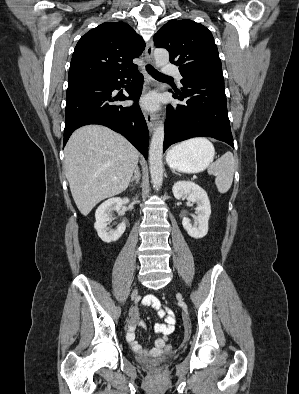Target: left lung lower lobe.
Segmentation results:
<instances>
[{"instance_id":"obj_1","label":"left lung lower lobe","mask_w":299,"mask_h":394,"mask_svg":"<svg viewBox=\"0 0 299 394\" xmlns=\"http://www.w3.org/2000/svg\"><path fill=\"white\" fill-rule=\"evenodd\" d=\"M183 88L174 98L184 101L175 110L168 106L163 152L172 144L193 137H213L234 148L224 79L197 76L181 80Z\"/></svg>"}]
</instances>
